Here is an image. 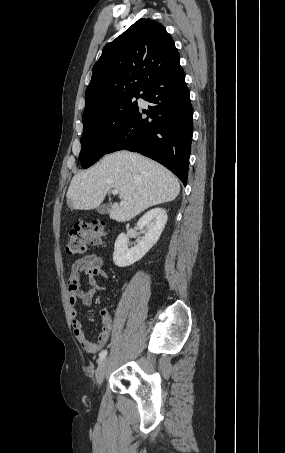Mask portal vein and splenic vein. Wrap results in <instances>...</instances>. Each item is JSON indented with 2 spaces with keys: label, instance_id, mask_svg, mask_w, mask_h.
Returning <instances> with one entry per match:
<instances>
[{
  "label": "portal vein and splenic vein",
  "instance_id": "18ae733b",
  "mask_svg": "<svg viewBox=\"0 0 285 453\" xmlns=\"http://www.w3.org/2000/svg\"><path fill=\"white\" fill-rule=\"evenodd\" d=\"M118 192H119L118 189H113V190H112V194H113V195H117Z\"/></svg>",
  "mask_w": 285,
  "mask_h": 453
}]
</instances>
